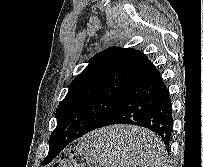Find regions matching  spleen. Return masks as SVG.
<instances>
[{
    "label": "spleen",
    "instance_id": "3e777b00",
    "mask_svg": "<svg viewBox=\"0 0 203 167\" xmlns=\"http://www.w3.org/2000/svg\"><path fill=\"white\" fill-rule=\"evenodd\" d=\"M111 136L102 130L84 137L79 145V152L86 154L105 167H168L167 152L162 141L155 136L147 137L142 147V157L134 165L125 160H118L114 154Z\"/></svg>",
    "mask_w": 203,
    "mask_h": 167
}]
</instances>
